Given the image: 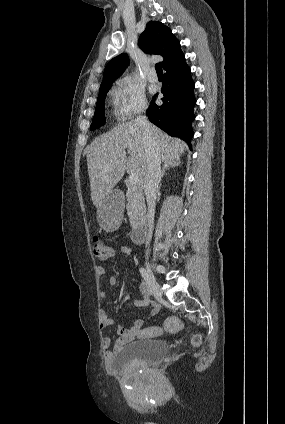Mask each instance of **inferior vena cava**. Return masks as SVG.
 Masks as SVG:
<instances>
[{
	"mask_svg": "<svg viewBox=\"0 0 285 424\" xmlns=\"http://www.w3.org/2000/svg\"><path fill=\"white\" fill-rule=\"evenodd\" d=\"M145 107L142 108V112ZM143 130V139L145 143V151L147 157V172L144 180V192L146 196L148 212H147V226L148 234L146 238V246L149 244L154 228V214H155V200L158 191V186L161 180V158L157 143L153 137L150 123L146 116L139 115L135 120Z\"/></svg>",
	"mask_w": 285,
	"mask_h": 424,
	"instance_id": "1",
	"label": "inferior vena cava"
}]
</instances>
